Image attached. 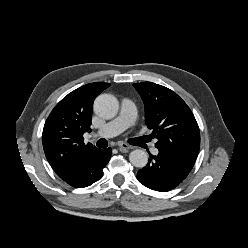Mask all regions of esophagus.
Returning a JSON list of instances; mask_svg holds the SVG:
<instances>
[{
	"instance_id": "1",
	"label": "esophagus",
	"mask_w": 248,
	"mask_h": 248,
	"mask_svg": "<svg viewBox=\"0 0 248 248\" xmlns=\"http://www.w3.org/2000/svg\"><path fill=\"white\" fill-rule=\"evenodd\" d=\"M118 147H119V150H120L121 152H126V151H128L129 149L132 148L131 146H129V145L126 144V143H120V144H118Z\"/></svg>"
}]
</instances>
